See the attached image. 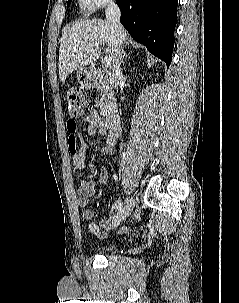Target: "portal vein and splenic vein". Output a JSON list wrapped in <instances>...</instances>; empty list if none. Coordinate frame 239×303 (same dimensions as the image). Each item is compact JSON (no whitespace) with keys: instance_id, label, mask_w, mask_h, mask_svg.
<instances>
[{"instance_id":"1","label":"portal vein and splenic vein","mask_w":239,"mask_h":303,"mask_svg":"<svg viewBox=\"0 0 239 303\" xmlns=\"http://www.w3.org/2000/svg\"><path fill=\"white\" fill-rule=\"evenodd\" d=\"M102 63L105 67H110L111 66V58L110 57H104L102 60Z\"/></svg>"}]
</instances>
